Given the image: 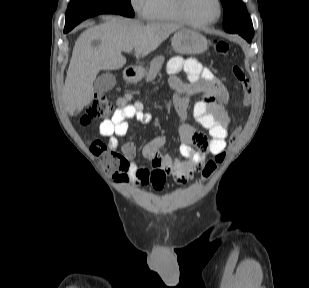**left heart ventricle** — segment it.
I'll use <instances>...</instances> for the list:
<instances>
[{"instance_id":"b2bd125f","label":"left heart ventricle","mask_w":309,"mask_h":288,"mask_svg":"<svg viewBox=\"0 0 309 288\" xmlns=\"http://www.w3.org/2000/svg\"><path fill=\"white\" fill-rule=\"evenodd\" d=\"M186 9L189 16L199 22L215 18L218 11L216 0H187Z\"/></svg>"}]
</instances>
